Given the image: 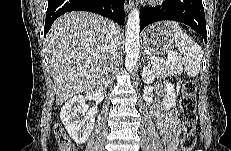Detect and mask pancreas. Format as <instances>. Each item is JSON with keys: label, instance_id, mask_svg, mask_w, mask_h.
I'll list each match as a JSON object with an SVG mask.
<instances>
[{"label": "pancreas", "instance_id": "obj_1", "mask_svg": "<svg viewBox=\"0 0 231 151\" xmlns=\"http://www.w3.org/2000/svg\"><path fill=\"white\" fill-rule=\"evenodd\" d=\"M153 66L160 70L161 72L167 74V75H173L177 76L182 73V63L180 60L172 61L169 63H163V62H158V61H153Z\"/></svg>", "mask_w": 231, "mask_h": 151}]
</instances>
